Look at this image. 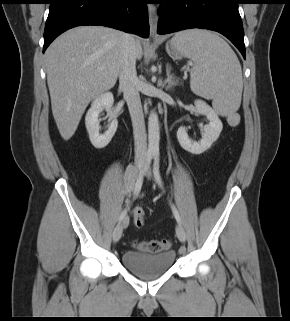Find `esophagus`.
<instances>
[{
  "label": "esophagus",
  "instance_id": "1",
  "mask_svg": "<svg viewBox=\"0 0 290 321\" xmlns=\"http://www.w3.org/2000/svg\"><path fill=\"white\" fill-rule=\"evenodd\" d=\"M148 17H149V26H150V38L156 39L158 37V34H157L158 15H157L156 7L154 5L148 4Z\"/></svg>",
  "mask_w": 290,
  "mask_h": 321
}]
</instances>
